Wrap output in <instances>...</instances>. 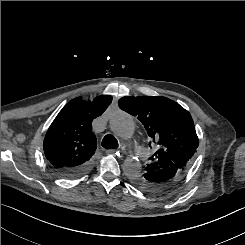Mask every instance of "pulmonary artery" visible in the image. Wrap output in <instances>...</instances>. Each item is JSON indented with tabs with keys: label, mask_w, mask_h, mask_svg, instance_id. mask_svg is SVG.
<instances>
[{
	"label": "pulmonary artery",
	"mask_w": 245,
	"mask_h": 245,
	"mask_svg": "<svg viewBox=\"0 0 245 245\" xmlns=\"http://www.w3.org/2000/svg\"><path fill=\"white\" fill-rule=\"evenodd\" d=\"M136 156L139 159H145L147 157V153L145 151H143L142 149H138V150H136Z\"/></svg>",
	"instance_id": "e3ab8cb5"
}]
</instances>
